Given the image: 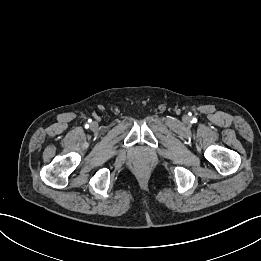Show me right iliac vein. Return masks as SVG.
<instances>
[{
  "instance_id": "obj_1",
  "label": "right iliac vein",
  "mask_w": 261,
  "mask_h": 261,
  "mask_svg": "<svg viewBox=\"0 0 261 261\" xmlns=\"http://www.w3.org/2000/svg\"><path fill=\"white\" fill-rule=\"evenodd\" d=\"M92 126L94 127V126H96V124H95V123H93V124H92Z\"/></svg>"
}]
</instances>
